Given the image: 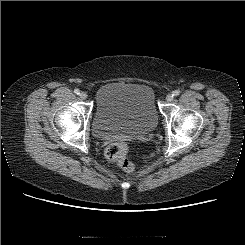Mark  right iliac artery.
Here are the masks:
<instances>
[{
  "mask_svg": "<svg viewBox=\"0 0 245 245\" xmlns=\"http://www.w3.org/2000/svg\"><path fill=\"white\" fill-rule=\"evenodd\" d=\"M74 93L77 94V95H79L80 94V90L79 89H75L74 90Z\"/></svg>",
  "mask_w": 245,
  "mask_h": 245,
  "instance_id": "82829eb1",
  "label": "right iliac artery"
}]
</instances>
